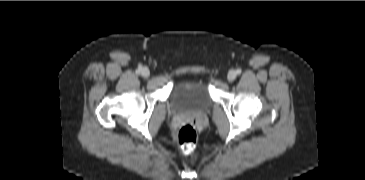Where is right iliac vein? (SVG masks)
I'll return each mask as SVG.
<instances>
[{"mask_svg":"<svg viewBox=\"0 0 365 180\" xmlns=\"http://www.w3.org/2000/svg\"><path fill=\"white\" fill-rule=\"evenodd\" d=\"M141 74L143 77L148 78L150 76V71L147 67L141 69Z\"/></svg>","mask_w":365,"mask_h":180,"instance_id":"obj_1","label":"right iliac vein"}]
</instances>
